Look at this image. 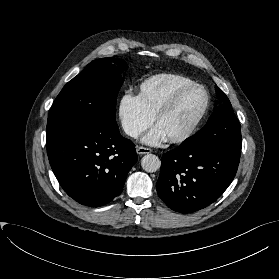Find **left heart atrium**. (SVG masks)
I'll return each instance as SVG.
<instances>
[{
    "label": "left heart atrium",
    "mask_w": 279,
    "mask_h": 279,
    "mask_svg": "<svg viewBox=\"0 0 279 279\" xmlns=\"http://www.w3.org/2000/svg\"><path fill=\"white\" fill-rule=\"evenodd\" d=\"M167 138L165 132L156 125L142 138V142L152 146H159L165 142Z\"/></svg>",
    "instance_id": "obj_1"
}]
</instances>
